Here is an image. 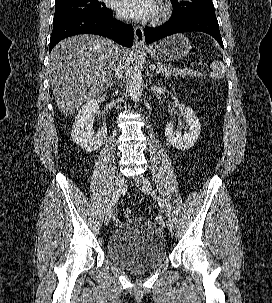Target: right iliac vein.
Here are the masks:
<instances>
[{"mask_svg": "<svg viewBox=\"0 0 272 303\" xmlns=\"http://www.w3.org/2000/svg\"><path fill=\"white\" fill-rule=\"evenodd\" d=\"M123 186H124V177L121 173H117L114 181L113 196H120L123 190ZM113 206L114 205L111 206L112 210L110 211V214L109 215L105 214V219H104L105 225H108L109 222L111 221Z\"/></svg>", "mask_w": 272, "mask_h": 303, "instance_id": "obj_1", "label": "right iliac vein"}]
</instances>
